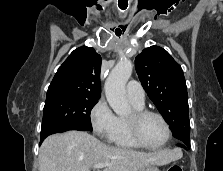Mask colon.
Wrapping results in <instances>:
<instances>
[{
	"instance_id": "obj_1",
	"label": "colon",
	"mask_w": 223,
	"mask_h": 171,
	"mask_svg": "<svg viewBox=\"0 0 223 171\" xmlns=\"http://www.w3.org/2000/svg\"><path fill=\"white\" fill-rule=\"evenodd\" d=\"M167 171H183L182 168L178 165H171Z\"/></svg>"
}]
</instances>
